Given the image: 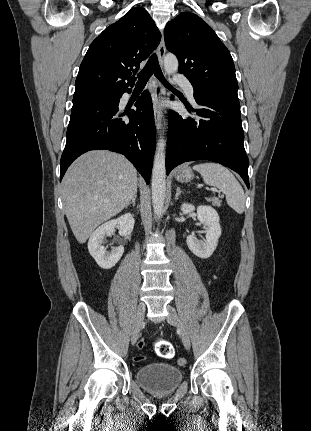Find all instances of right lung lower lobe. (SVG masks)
Masks as SVG:
<instances>
[{"label":"right lung lower lobe","instance_id":"98d812e1","mask_svg":"<svg viewBox=\"0 0 311 431\" xmlns=\"http://www.w3.org/2000/svg\"><path fill=\"white\" fill-rule=\"evenodd\" d=\"M130 92V89L124 91ZM124 92L117 98H98L73 103L67 129L66 146L61 156L60 180L81 154L107 149L125 155L148 184L155 151V123L150 94L145 91L135 103L136 111L119 113ZM127 114L129 121L120 116Z\"/></svg>","mask_w":311,"mask_h":431}]
</instances>
